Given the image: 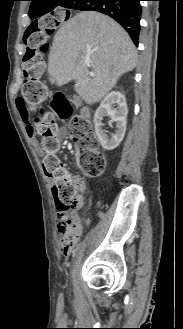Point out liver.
I'll return each instance as SVG.
<instances>
[{
  "instance_id": "1",
  "label": "liver",
  "mask_w": 183,
  "mask_h": 329,
  "mask_svg": "<svg viewBox=\"0 0 183 329\" xmlns=\"http://www.w3.org/2000/svg\"><path fill=\"white\" fill-rule=\"evenodd\" d=\"M136 61V48L117 22L85 11L63 23L55 34L47 73L58 86L75 79L77 93L92 105L114 88L122 74L133 70Z\"/></svg>"
}]
</instances>
